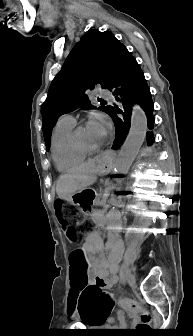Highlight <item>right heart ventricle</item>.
<instances>
[{
	"label": "right heart ventricle",
	"instance_id": "obj_1",
	"mask_svg": "<svg viewBox=\"0 0 193 336\" xmlns=\"http://www.w3.org/2000/svg\"><path fill=\"white\" fill-rule=\"evenodd\" d=\"M75 123H57L52 135V157L58 170H69L82 163L87 154L73 143Z\"/></svg>",
	"mask_w": 193,
	"mask_h": 336
}]
</instances>
